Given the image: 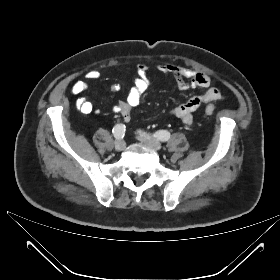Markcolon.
<instances>
[{
	"instance_id": "5ec220e1",
	"label": "colon",
	"mask_w": 280,
	"mask_h": 280,
	"mask_svg": "<svg viewBox=\"0 0 280 280\" xmlns=\"http://www.w3.org/2000/svg\"><path fill=\"white\" fill-rule=\"evenodd\" d=\"M215 109L213 107H207L205 109V113L208 115H212L214 113Z\"/></svg>"
}]
</instances>
